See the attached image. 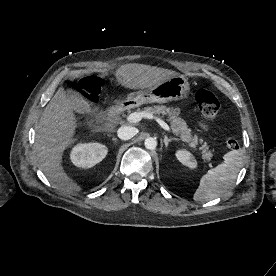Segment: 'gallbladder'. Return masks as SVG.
I'll return each instance as SVG.
<instances>
[{"label":"gallbladder","mask_w":276,"mask_h":276,"mask_svg":"<svg viewBox=\"0 0 276 276\" xmlns=\"http://www.w3.org/2000/svg\"><path fill=\"white\" fill-rule=\"evenodd\" d=\"M68 98L71 102L73 111L92 116L94 119H99L101 116L95 112L89 102L85 100L78 92L73 90L67 91Z\"/></svg>","instance_id":"obj_1"}]
</instances>
